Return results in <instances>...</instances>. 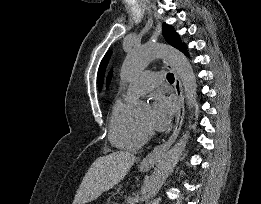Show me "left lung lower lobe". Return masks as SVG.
Instances as JSON below:
<instances>
[{"mask_svg": "<svg viewBox=\"0 0 261 204\" xmlns=\"http://www.w3.org/2000/svg\"><path fill=\"white\" fill-rule=\"evenodd\" d=\"M181 51L186 52V47L184 46Z\"/></svg>", "mask_w": 261, "mask_h": 204, "instance_id": "1", "label": "left lung lower lobe"}]
</instances>
